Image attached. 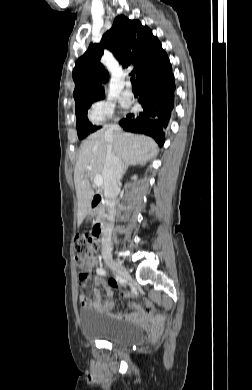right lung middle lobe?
Wrapping results in <instances>:
<instances>
[{
  "label": "right lung middle lobe",
  "instance_id": "1",
  "mask_svg": "<svg viewBox=\"0 0 252 390\" xmlns=\"http://www.w3.org/2000/svg\"><path fill=\"white\" fill-rule=\"evenodd\" d=\"M91 104L92 102H89L87 104H84L81 107L76 108V118H77L76 126H77V134L79 136V139H83L91 132H94L100 128L98 126H92V124L87 119V110L89 109Z\"/></svg>",
  "mask_w": 252,
  "mask_h": 390
}]
</instances>
